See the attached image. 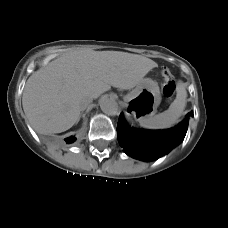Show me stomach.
I'll use <instances>...</instances> for the list:
<instances>
[{"label": "stomach", "instance_id": "1", "mask_svg": "<svg viewBox=\"0 0 228 228\" xmlns=\"http://www.w3.org/2000/svg\"><path fill=\"white\" fill-rule=\"evenodd\" d=\"M125 100L130 103V109L139 121L153 116L161 102L159 86L154 80L145 78L125 97Z\"/></svg>", "mask_w": 228, "mask_h": 228}]
</instances>
